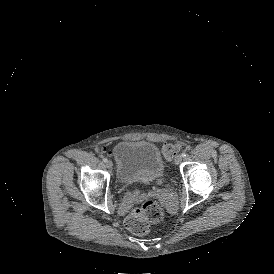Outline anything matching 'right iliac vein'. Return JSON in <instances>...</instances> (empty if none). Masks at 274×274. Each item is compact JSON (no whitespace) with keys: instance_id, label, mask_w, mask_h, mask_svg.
<instances>
[{"instance_id":"1","label":"right iliac vein","mask_w":274,"mask_h":274,"mask_svg":"<svg viewBox=\"0 0 274 274\" xmlns=\"http://www.w3.org/2000/svg\"><path fill=\"white\" fill-rule=\"evenodd\" d=\"M106 167H107L108 169H111V168L113 167V163H112L111 161H107V162H106Z\"/></svg>"}]
</instances>
